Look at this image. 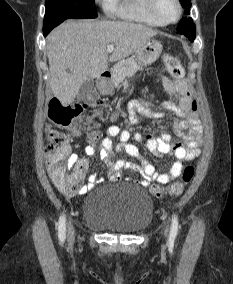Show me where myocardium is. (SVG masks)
Masks as SVG:
<instances>
[{"instance_id": "obj_1", "label": "myocardium", "mask_w": 233, "mask_h": 284, "mask_svg": "<svg viewBox=\"0 0 233 284\" xmlns=\"http://www.w3.org/2000/svg\"><path fill=\"white\" fill-rule=\"evenodd\" d=\"M173 2L175 3L176 7H177V14L175 16L174 19L166 21L164 20L158 10V3L159 0H149V10L151 12V14L153 15V17L161 24V25H171L176 23L181 15H182V5L180 0H173Z\"/></svg>"}]
</instances>
